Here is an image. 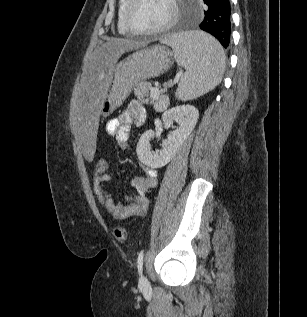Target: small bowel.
Returning a JSON list of instances; mask_svg holds the SVG:
<instances>
[{
	"label": "small bowel",
	"mask_w": 307,
	"mask_h": 317,
	"mask_svg": "<svg viewBox=\"0 0 307 317\" xmlns=\"http://www.w3.org/2000/svg\"><path fill=\"white\" fill-rule=\"evenodd\" d=\"M146 119V110L138 101L129 103L118 117L112 118L106 123V131L109 136L116 139L122 149L128 147L130 128L132 125H142ZM144 175L135 177L132 185L135 194L127 198L126 203H116L106 191L105 185L112 180V176L105 172L94 174L93 188L99 203L115 218L125 219L143 213L148 205L146 193L157 184V171L146 165H142Z\"/></svg>",
	"instance_id": "obj_1"
}]
</instances>
